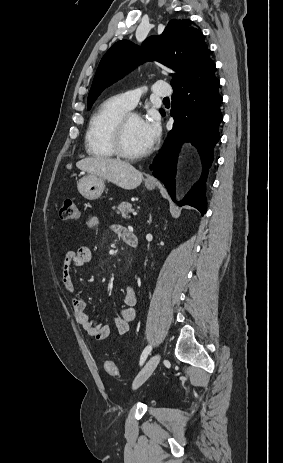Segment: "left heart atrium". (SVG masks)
Masks as SVG:
<instances>
[{
	"mask_svg": "<svg viewBox=\"0 0 283 463\" xmlns=\"http://www.w3.org/2000/svg\"><path fill=\"white\" fill-rule=\"evenodd\" d=\"M141 129L146 147L152 148L160 137L161 130L158 120L153 116L141 120Z\"/></svg>",
	"mask_w": 283,
	"mask_h": 463,
	"instance_id": "obj_1",
	"label": "left heart atrium"
}]
</instances>
